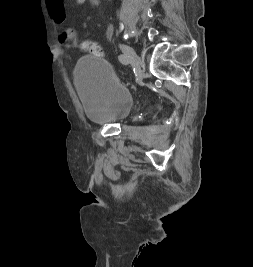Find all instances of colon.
<instances>
[{"label":"colon","instance_id":"1","mask_svg":"<svg viewBox=\"0 0 253 267\" xmlns=\"http://www.w3.org/2000/svg\"><path fill=\"white\" fill-rule=\"evenodd\" d=\"M59 39L62 43H68L71 48L76 50L88 52L98 57L103 56V50L97 42L82 39L77 32L73 33L65 29L61 32Z\"/></svg>","mask_w":253,"mask_h":267}]
</instances>
